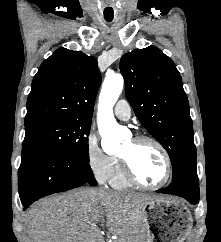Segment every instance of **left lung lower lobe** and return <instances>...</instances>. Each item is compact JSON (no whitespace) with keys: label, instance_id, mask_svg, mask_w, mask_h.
Masks as SVG:
<instances>
[{"label":"left lung lower lobe","instance_id":"obj_1","mask_svg":"<svg viewBox=\"0 0 221 242\" xmlns=\"http://www.w3.org/2000/svg\"><path fill=\"white\" fill-rule=\"evenodd\" d=\"M157 192L178 195L194 205L197 204L199 202V182L196 168L185 171L172 180L168 187L159 189Z\"/></svg>","mask_w":221,"mask_h":242}]
</instances>
